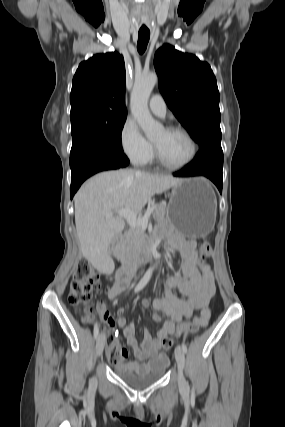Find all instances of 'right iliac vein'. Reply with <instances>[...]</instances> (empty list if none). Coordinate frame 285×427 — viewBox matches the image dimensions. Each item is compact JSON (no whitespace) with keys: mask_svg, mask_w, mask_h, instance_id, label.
Segmentation results:
<instances>
[{"mask_svg":"<svg viewBox=\"0 0 285 427\" xmlns=\"http://www.w3.org/2000/svg\"><path fill=\"white\" fill-rule=\"evenodd\" d=\"M105 341H106L105 334L101 333L96 342V352L98 356H100L103 352Z\"/></svg>","mask_w":285,"mask_h":427,"instance_id":"1","label":"right iliac vein"}]
</instances>
